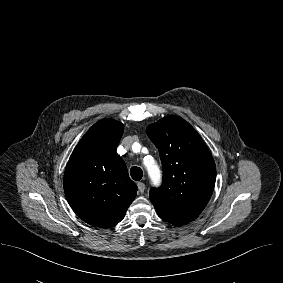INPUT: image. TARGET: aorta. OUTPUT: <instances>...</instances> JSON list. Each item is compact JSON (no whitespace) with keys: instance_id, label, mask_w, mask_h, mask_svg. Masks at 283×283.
I'll list each match as a JSON object with an SVG mask.
<instances>
[{"instance_id":"1","label":"aorta","mask_w":283,"mask_h":283,"mask_svg":"<svg viewBox=\"0 0 283 283\" xmlns=\"http://www.w3.org/2000/svg\"><path fill=\"white\" fill-rule=\"evenodd\" d=\"M149 161L152 162L150 165L147 164L149 176L154 183H157L161 176L159 167L151 159Z\"/></svg>"}]
</instances>
